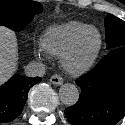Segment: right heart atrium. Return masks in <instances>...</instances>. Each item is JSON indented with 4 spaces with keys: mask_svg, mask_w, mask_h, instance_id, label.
<instances>
[{
    "mask_svg": "<svg viewBox=\"0 0 125 125\" xmlns=\"http://www.w3.org/2000/svg\"><path fill=\"white\" fill-rule=\"evenodd\" d=\"M34 52L36 57L48 59L50 57L49 52L47 51L42 40H37L34 43Z\"/></svg>",
    "mask_w": 125,
    "mask_h": 125,
    "instance_id": "obj_1",
    "label": "right heart atrium"
}]
</instances>
